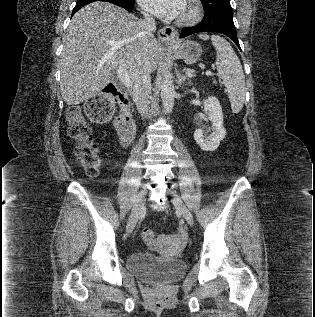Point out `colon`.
<instances>
[{"label":"colon","mask_w":315,"mask_h":317,"mask_svg":"<svg viewBox=\"0 0 315 317\" xmlns=\"http://www.w3.org/2000/svg\"><path fill=\"white\" fill-rule=\"evenodd\" d=\"M115 98V91L106 89L85 103L84 113L78 106H71L67 110L69 134L76 141L77 158L89 176L98 174L101 160L99 148L93 140L92 130L87 124L85 116L99 122L109 120L114 113ZM141 236L146 244H154L155 234L151 229H142Z\"/></svg>","instance_id":"5ec220e1"}]
</instances>
